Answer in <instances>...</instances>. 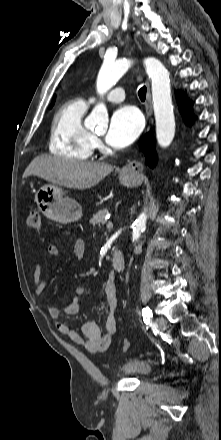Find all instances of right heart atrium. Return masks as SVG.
<instances>
[{"instance_id": "obj_1", "label": "right heart atrium", "mask_w": 221, "mask_h": 440, "mask_svg": "<svg viewBox=\"0 0 221 440\" xmlns=\"http://www.w3.org/2000/svg\"><path fill=\"white\" fill-rule=\"evenodd\" d=\"M94 147L96 148L101 147V142L97 137H94Z\"/></svg>"}]
</instances>
